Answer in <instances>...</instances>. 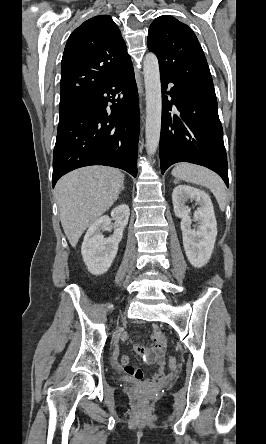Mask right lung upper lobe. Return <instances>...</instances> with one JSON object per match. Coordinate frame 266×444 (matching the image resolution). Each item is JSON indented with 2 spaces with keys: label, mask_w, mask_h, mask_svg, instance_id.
Returning <instances> with one entry per match:
<instances>
[{
  "label": "right lung upper lobe",
  "mask_w": 266,
  "mask_h": 444,
  "mask_svg": "<svg viewBox=\"0 0 266 444\" xmlns=\"http://www.w3.org/2000/svg\"><path fill=\"white\" fill-rule=\"evenodd\" d=\"M131 61L108 15L95 16L70 35L61 62L60 100L86 97Z\"/></svg>",
  "instance_id": "1"
}]
</instances>
